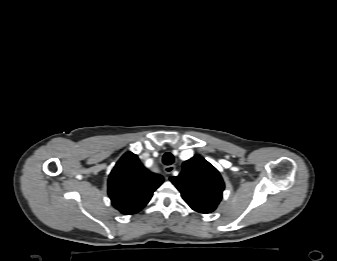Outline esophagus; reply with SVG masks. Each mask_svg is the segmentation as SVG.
<instances>
[{
    "mask_svg": "<svg viewBox=\"0 0 337 261\" xmlns=\"http://www.w3.org/2000/svg\"><path fill=\"white\" fill-rule=\"evenodd\" d=\"M174 170H175V166L174 165H169V166H165L164 167V172L166 174H171Z\"/></svg>",
    "mask_w": 337,
    "mask_h": 261,
    "instance_id": "obj_1",
    "label": "esophagus"
}]
</instances>
